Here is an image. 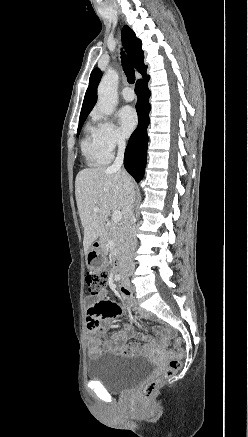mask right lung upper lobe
<instances>
[{
    "label": "right lung upper lobe",
    "instance_id": "right-lung-upper-lobe-1",
    "mask_svg": "<svg viewBox=\"0 0 248 437\" xmlns=\"http://www.w3.org/2000/svg\"><path fill=\"white\" fill-rule=\"evenodd\" d=\"M122 42L134 67L139 73L145 74L147 67L143 62L144 51L141 50V40L136 38L134 31L127 25L122 29ZM101 76L102 73L98 68H95L90 75L89 86L84 97L80 119L88 116L97 101V86Z\"/></svg>",
    "mask_w": 248,
    "mask_h": 437
}]
</instances>
